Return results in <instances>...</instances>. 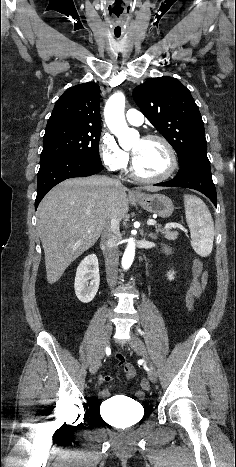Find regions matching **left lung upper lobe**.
Returning <instances> with one entry per match:
<instances>
[{
	"instance_id": "1",
	"label": "left lung upper lobe",
	"mask_w": 236,
	"mask_h": 467,
	"mask_svg": "<svg viewBox=\"0 0 236 467\" xmlns=\"http://www.w3.org/2000/svg\"><path fill=\"white\" fill-rule=\"evenodd\" d=\"M133 98L151 124L176 151L179 164L206 152L204 124L190 91L171 77L150 78L137 86Z\"/></svg>"
}]
</instances>
